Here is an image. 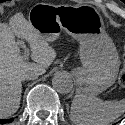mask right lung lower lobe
Wrapping results in <instances>:
<instances>
[{"label": "right lung lower lobe", "instance_id": "1", "mask_svg": "<svg viewBox=\"0 0 125 125\" xmlns=\"http://www.w3.org/2000/svg\"><path fill=\"white\" fill-rule=\"evenodd\" d=\"M14 119H7V120H0V123L4 124V123H9L11 121H13Z\"/></svg>", "mask_w": 125, "mask_h": 125}]
</instances>
